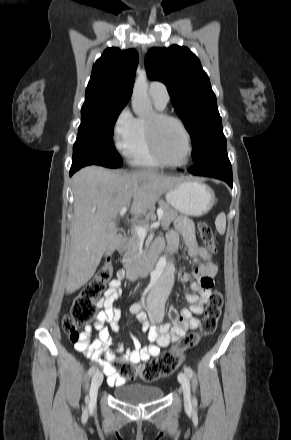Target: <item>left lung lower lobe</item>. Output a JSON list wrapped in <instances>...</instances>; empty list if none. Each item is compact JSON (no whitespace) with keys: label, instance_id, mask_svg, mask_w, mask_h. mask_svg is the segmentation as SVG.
<instances>
[{"label":"left lung lower lobe","instance_id":"left-lung-lower-lobe-1","mask_svg":"<svg viewBox=\"0 0 291 440\" xmlns=\"http://www.w3.org/2000/svg\"><path fill=\"white\" fill-rule=\"evenodd\" d=\"M197 176H208L225 181L231 188L233 186L232 167L227 155V148L222 147L211 154L200 164L188 170Z\"/></svg>","mask_w":291,"mask_h":440}]
</instances>
